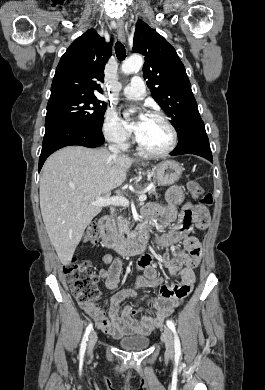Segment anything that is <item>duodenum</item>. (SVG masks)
<instances>
[{
	"mask_svg": "<svg viewBox=\"0 0 265 390\" xmlns=\"http://www.w3.org/2000/svg\"><path fill=\"white\" fill-rule=\"evenodd\" d=\"M100 235L103 246L114 249L121 255H131L142 251L148 237L147 223H142L139 230L129 236V239L119 237L111 228L110 217L105 215L99 221Z\"/></svg>",
	"mask_w": 265,
	"mask_h": 390,
	"instance_id": "obj_1",
	"label": "duodenum"
}]
</instances>
